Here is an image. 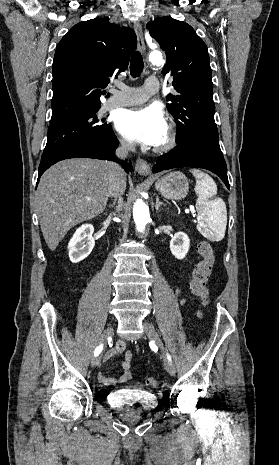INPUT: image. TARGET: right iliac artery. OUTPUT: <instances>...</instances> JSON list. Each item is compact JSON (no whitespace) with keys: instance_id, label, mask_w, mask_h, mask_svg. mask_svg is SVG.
<instances>
[{"instance_id":"1","label":"right iliac artery","mask_w":279,"mask_h":465,"mask_svg":"<svg viewBox=\"0 0 279 465\" xmlns=\"http://www.w3.org/2000/svg\"><path fill=\"white\" fill-rule=\"evenodd\" d=\"M102 349H103V345H99V346L95 349L94 355H95V356L99 355V353L102 351Z\"/></svg>"}]
</instances>
